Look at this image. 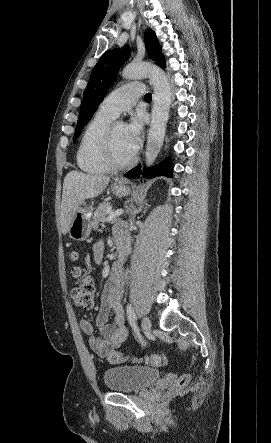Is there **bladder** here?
I'll return each mask as SVG.
<instances>
[{"instance_id":"1","label":"bladder","mask_w":271,"mask_h":443,"mask_svg":"<svg viewBox=\"0 0 271 443\" xmlns=\"http://www.w3.org/2000/svg\"><path fill=\"white\" fill-rule=\"evenodd\" d=\"M160 376L159 370L149 366L117 365L105 370L103 382L110 391L128 393L151 385Z\"/></svg>"}]
</instances>
